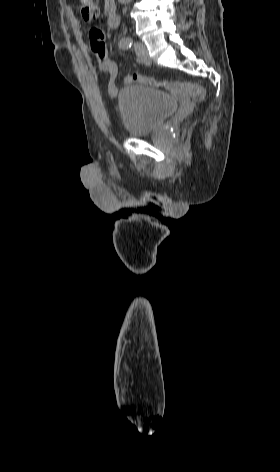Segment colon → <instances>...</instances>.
<instances>
[{"label":"colon","mask_w":280,"mask_h":472,"mask_svg":"<svg viewBox=\"0 0 280 472\" xmlns=\"http://www.w3.org/2000/svg\"><path fill=\"white\" fill-rule=\"evenodd\" d=\"M80 13L83 21L91 22L98 14V7L93 0H78ZM132 81L169 90H181L187 92L195 101H203L206 95L205 88L197 83L180 82L176 80L160 81L152 77L134 73L131 76Z\"/></svg>","instance_id":"colon-1"}]
</instances>
